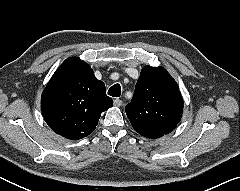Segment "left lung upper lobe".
Segmentation results:
<instances>
[{
  "label": "left lung upper lobe",
  "mask_w": 240,
  "mask_h": 191,
  "mask_svg": "<svg viewBox=\"0 0 240 191\" xmlns=\"http://www.w3.org/2000/svg\"><path fill=\"white\" fill-rule=\"evenodd\" d=\"M125 111L136 132L159 138L172 132L181 120L183 99L167 70L144 66Z\"/></svg>",
  "instance_id": "left-lung-upper-lobe-1"
}]
</instances>
